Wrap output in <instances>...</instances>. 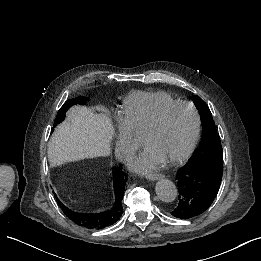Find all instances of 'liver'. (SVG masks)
Instances as JSON below:
<instances>
[{"mask_svg":"<svg viewBox=\"0 0 261 261\" xmlns=\"http://www.w3.org/2000/svg\"><path fill=\"white\" fill-rule=\"evenodd\" d=\"M113 130L106 114L97 115L83 107H74L68 121L60 125L50 141L49 152L56 157L86 158L105 156L109 153Z\"/></svg>","mask_w":261,"mask_h":261,"instance_id":"1","label":"liver"}]
</instances>
